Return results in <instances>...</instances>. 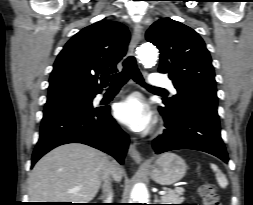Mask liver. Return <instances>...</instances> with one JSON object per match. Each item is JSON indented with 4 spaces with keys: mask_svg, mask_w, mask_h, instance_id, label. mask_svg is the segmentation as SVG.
Returning a JSON list of instances; mask_svg holds the SVG:
<instances>
[{
    "mask_svg": "<svg viewBox=\"0 0 253 205\" xmlns=\"http://www.w3.org/2000/svg\"><path fill=\"white\" fill-rule=\"evenodd\" d=\"M120 182L123 170L103 152L83 144L59 146L34 166L29 175L28 194L32 202L88 203L97 194L108 168ZM79 187L74 191V188Z\"/></svg>",
    "mask_w": 253,
    "mask_h": 205,
    "instance_id": "1",
    "label": "liver"
}]
</instances>
